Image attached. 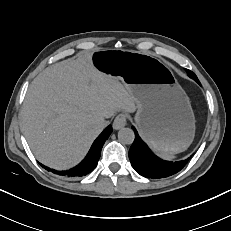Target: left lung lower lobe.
Instances as JSON below:
<instances>
[{
	"mask_svg": "<svg viewBox=\"0 0 231 231\" xmlns=\"http://www.w3.org/2000/svg\"><path fill=\"white\" fill-rule=\"evenodd\" d=\"M135 140L129 150V159L133 168L146 178H165L178 173L187 164L189 158L182 161H165L152 153L148 146L141 140L136 129Z\"/></svg>",
	"mask_w": 231,
	"mask_h": 231,
	"instance_id": "0a47b994",
	"label": "left lung lower lobe"
}]
</instances>
